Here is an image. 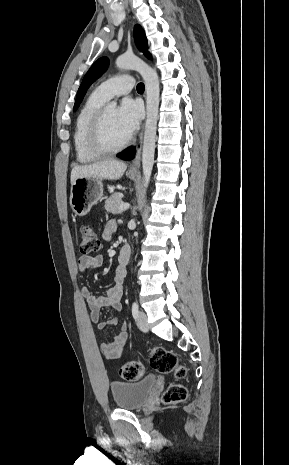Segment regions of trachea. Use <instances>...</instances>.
I'll use <instances>...</instances> for the list:
<instances>
[{"instance_id":"1","label":"trachea","mask_w":289,"mask_h":465,"mask_svg":"<svg viewBox=\"0 0 289 465\" xmlns=\"http://www.w3.org/2000/svg\"><path fill=\"white\" fill-rule=\"evenodd\" d=\"M137 91H138L139 93H143V92H144V84H143V83H139V84L137 85Z\"/></svg>"}]
</instances>
